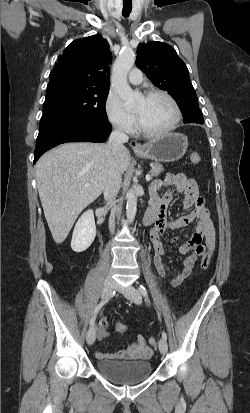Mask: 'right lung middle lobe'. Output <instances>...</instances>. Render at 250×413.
Instances as JSON below:
<instances>
[{
  "instance_id": "obj_1",
  "label": "right lung middle lobe",
  "mask_w": 250,
  "mask_h": 413,
  "mask_svg": "<svg viewBox=\"0 0 250 413\" xmlns=\"http://www.w3.org/2000/svg\"><path fill=\"white\" fill-rule=\"evenodd\" d=\"M109 89L62 85L46 91L40 129L62 120H108L105 103Z\"/></svg>"
}]
</instances>
